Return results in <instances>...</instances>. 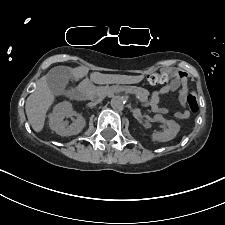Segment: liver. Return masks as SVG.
Here are the masks:
<instances>
[{
  "label": "liver",
  "mask_w": 225,
  "mask_h": 225,
  "mask_svg": "<svg viewBox=\"0 0 225 225\" xmlns=\"http://www.w3.org/2000/svg\"><path fill=\"white\" fill-rule=\"evenodd\" d=\"M69 70L70 78L77 80L85 77L89 69L85 66H79L69 68ZM139 79H141V77L130 79L127 76L108 75L99 72L90 74V80L96 84L135 83ZM53 102L54 95L48 86L46 76H43L37 81L36 89L28 96L25 104L28 121L35 132L42 131L45 124L46 113Z\"/></svg>",
  "instance_id": "liver-1"
}]
</instances>
